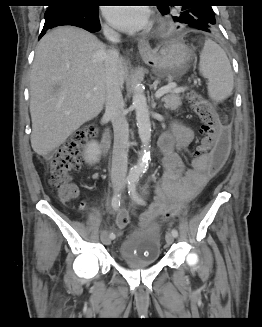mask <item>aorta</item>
I'll return each instance as SVG.
<instances>
[{
    "instance_id": "1",
    "label": "aorta",
    "mask_w": 262,
    "mask_h": 327,
    "mask_svg": "<svg viewBox=\"0 0 262 327\" xmlns=\"http://www.w3.org/2000/svg\"><path fill=\"white\" fill-rule=\"evenodd\" d=\"M132 104L135 109L138 134L142 143V151L137 164L130 169L129 177L137 179L146 170L149 159V143L151 138V122L146 97L138 84L133 85Z\"/></svg>"
}]
</instances>
